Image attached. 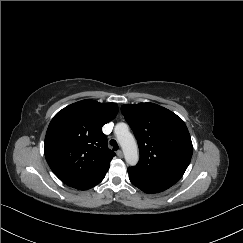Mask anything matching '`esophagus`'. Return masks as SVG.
Listing matches in <instances>:
<instances>
[{"label":"esophagus","instance_id":"1","mask_svg":"<svg viewBox=\"0 0 243 243\" xmlns=\"http://www.w3.org/2000/svg\"><path fill=\"white\" fill-rule=\"evenodd\" d=\"M116 154L119 158H123V151L122 150H118Z\"/></svg>","mask_w":243,"mask_h":243}]
</instances>
